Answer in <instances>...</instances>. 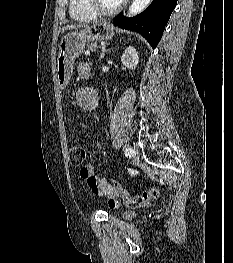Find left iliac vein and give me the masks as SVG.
Instances as JSON below:
<instances>
[{
	"label": "left iliac vein",
	"instance_id": "1",
	"mask_svg": "<svg viewBox=\"0 0 233 263\" xmlns=\"http://www.w3.org/2000/svg\"><path fill=\"white\" fill-rule=\"evenodd\" d=\"M132 158L134 162L139 161V152L135 147L132 148Z\"/></svg>",
	"mask_w": 233,
	"mask_h": 263
}]
</instances>
